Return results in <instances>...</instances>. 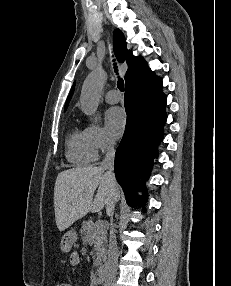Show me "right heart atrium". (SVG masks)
<instances>
[{"label": "right heart atrium", "mask_w": 231, "mask_h": 286, "mask_svg": "<svg viewBox=\"0 0 231 286\" xmlns=\"http://www.w3.org/2000/svg\"><path fill=\"white\" fill-rule=\"evenodd\" d=\"M88 141L96 153L106 152L113 147V141L97 123H90L85 129Z\"/></svg>", "instance_id": "right-heart-atrium-1"}]
</instances>
